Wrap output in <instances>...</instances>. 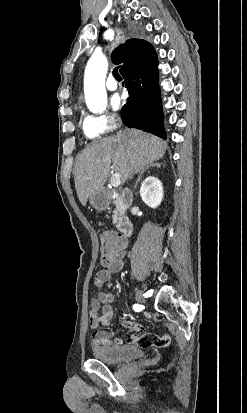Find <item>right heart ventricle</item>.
I'll use <instances>...</instances> for the list:
<instances>
[{
	"mask_svg": "<svg viewBox=\"0 0 247 413\" xmlns=\"http://www.w3.org/2000/svg\"><path fill=\"white\" fill-rule=\"evenodd\" d=\"M84 130H85V134H86L87 137H98V133H89L87 131V127H85Z\"/></svg>",
	"mask_w": 247,
	"mask_h": 413,
	"instance_id": "e07e8e85",
	"label": "right heart ventricle"
}]
</instances>
